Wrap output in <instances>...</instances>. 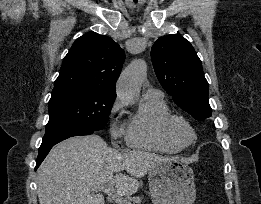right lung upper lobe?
I'll return each mask as SVG.
<instances>
[{
    "mask_svg": "<svg viewBox=\"0 0 261 204\" xmlns=\"http://www.w3.org/2000/svg\"><path fill=\"white\" fill-rule=\"evenodd\" d=\"M125 60L123 49L110 37L90 32L75 40L63 59L52 95L92 90L116 97L115 83Z\"/></svg>",
    "mask_w": 261,
    "mask_h": 204,
    "instance_id": "cb5924a9",
    "label": "right lung upper lobe"
}]
</instances>
